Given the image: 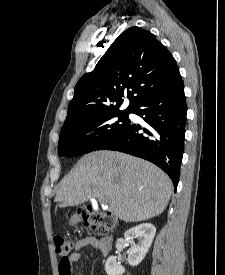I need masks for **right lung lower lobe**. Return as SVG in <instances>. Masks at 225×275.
Returning <instances> with one entry per match:
<instances>
[{"label":"right lung lower lobe","instance_id":"1","mask_svg":"<svg viewBox=\"0 0 225 275\" xmlns=\"http://www.w3.org/2000/svg\"><path fill=\"white\" fill-rule=\"evenodd\" d=\"M186 99L183 82L155 92L135 104L131 113L144 119L127 126L102 144L98 150H116L146 159L162 168L171 178L175 190L180 177L183 155Z\"/></svg>","mask_w":225,"mask_h":275}]
</instances>
